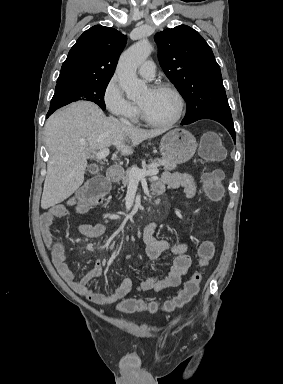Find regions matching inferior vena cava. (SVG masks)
<instances>
[{"label": "inferior vena cava", "mask_w": 283, "mask_h": 384, "mask_svg": "<svg viewBox=\"0 0 283 384\" xmlns=\"http://www.w3.org/2000/svg\"><path fill=\"white\" fill-rule=\"evenodd\" d=\"M121 122H122V124H127V126L129 124L128 120H124V118H121Z\"/></svg>", "instance_id": "602c4592"}]
</instances>
